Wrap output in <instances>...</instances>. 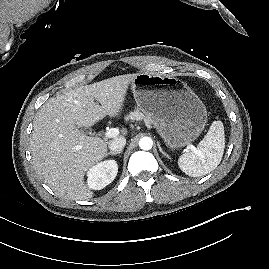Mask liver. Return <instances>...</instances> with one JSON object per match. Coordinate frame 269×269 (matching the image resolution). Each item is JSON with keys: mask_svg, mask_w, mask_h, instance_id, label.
Listing matches in <instances>:
<instances>
[{"mask_svg": "<svg viewBox=\"0 0 269 269\" xmlns=\"http://www.w3.org/2000/svg\"><path fill=\"white\" fill-rule=\"evenodd\" d=\"M138 74L115 76L50 98L35 116L31 139L34 168L58 196L70 200L93 197L84 176L107 155L110 142L87 136L77 126L91 127L107 115L118 116L129 84Z\"/></svg>", "mask_w": 269, "mask_h": 269, "instance_id": "liver-1", "label": "liver"}]
</instances>
